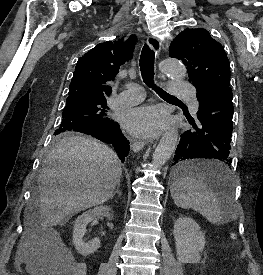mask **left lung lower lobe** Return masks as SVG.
Wrapping results in <instances>:
<instances>
[{"instance_id": "obj_1", "label": "left lung lower lobe", "mask_w": 263, "mask_h": 275, "mask_svg": "<svg viewBox=\"0 0 263 275\" xmlns=\"http://www.w3.org/2000/svg\"><path fill=\"white\" fill-rule=\"evenodd\" d=\"M199 110L197 126L189 123L195 130H187L181 134L177 145L174 163L181 164L191 159H216L222 164L231 165V137L233 103L232 89L219 86L203 93H197ZM176 178L193 177L212 184L222 183L224 174L217 169H207L193 163L179 166L175 170Z\"/></svg>"}]
</instances>
